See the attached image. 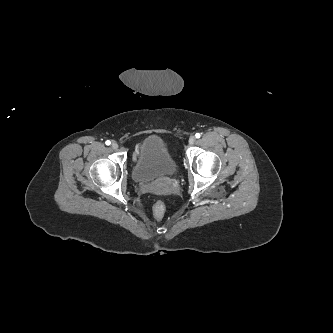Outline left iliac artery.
<instances>
[{
  "mask_svg": "<svg viewBox=\"0 0 333 333\" xmlns=\"http://www.w3.org/2000/svg\"><path fill=\"white\" fill-rule=\"evenodd\" d=\"M200 136H201L200 133H196V134H195V137H196V138H200Z\"/></svg>",
  "mask_w": 333,
  "mask_h": 333,
  "instance_id": "obj_1",
  "label": "left iliac artery"
}]
</instances>
